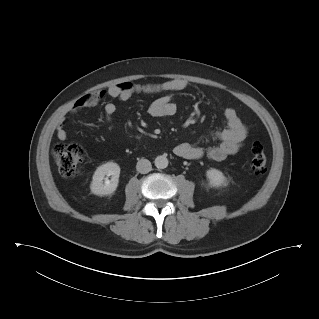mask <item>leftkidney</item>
Instances as JSON below:
<instances>
[{
    "instance_id": "1",
    "label": "left kidney",
    "mask_w": 319,
    "mask_h": 319,
    "mask_svg": "<svg viewBox=\"0 0 319 319\" xmlns=\"http://www.w3.org/2000/svg\"><path fill=\"white\" fill-rule=\"evenodd\" d=\"M206 176L213 187L226 186L228 183L224 174L220 170L214 168L207 170Z\"/></svg>"
}]
</instances>
